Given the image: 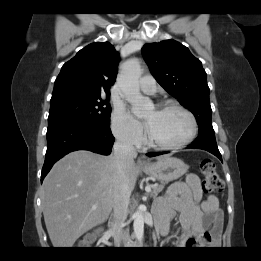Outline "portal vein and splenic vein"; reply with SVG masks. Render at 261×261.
<instances>
[{
    "label": "portal vein and splenic vein",
    "instance_id": "obj_1",
    "mask_svg": "<svg viewBox=\"0 0 261 261\" xmlns=\"http://www.w3.org/2000/svg\"><path fill=\"white\" fill-rule=\"evenodd\" d=\"M145 190H146V192H151V186H146Z\"/></svg>",
    "mask_w": 261,
    "mask_h": 261
}]
</instances>
